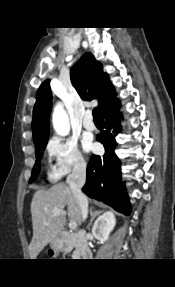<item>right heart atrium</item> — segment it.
Returning a JSON list of instances; mask_svg holds the SVG:
<instances>
[{"label": "right heart atrium", "mask_w": 175, "mask_h": 287, "mask_svg": "<svg viewBox=\"0 0 175 287\" xmlns=\"http://www.w3.org/2000/svg\"><path fill=\"white\" fill-rule=\"evenodd\" d=\"M46 152L50 160L49 177L52 180L86 168V160L77 141L72 138L53 136L47 143Z\"/></svg>", "instance_id": "d8ad5b80"}]
</instances>
